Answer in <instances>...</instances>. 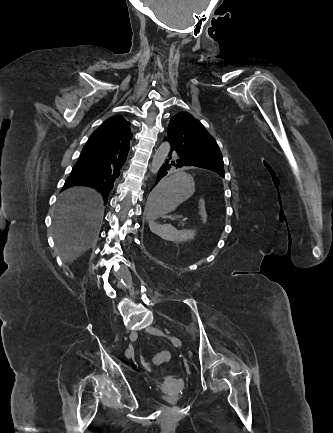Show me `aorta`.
Masks as SVG:
<instances>
[{
  "instance_id": "762f6f07",
  "label": "aorta",
  "mask_w": 333,
  "mask_h": 433,
  "mask_svg": "<svg viewBox=\"0 0 333 433\" xmlns=\"http://www.w3.org/2000/svg\"><path fill=\"white\" fill-rule=\"evenodd\" d=\"M170 152V144L169 142H163L157 151L155 152V155L153 156L152 165H151V172L153 174L157 173L160 167L163 165L167 155Z\"/></svg>"
}]
</instances>
